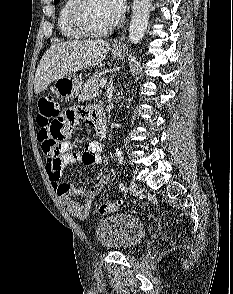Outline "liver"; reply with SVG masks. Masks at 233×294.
Returning a JSON list of instances; mask_svg holds the SVG:
<instances>
[{
  "instance_id": "obj_1",
  "label": "liver",
  "mask_w": 233,
  "mask_h": 294,
  "mask_svg": "<svg viewBox=\"0 0 233 294\" xmlns=\"http://www.w3.org/2000/svg\"><path fill=\"white\" fill-rule=\"evenodd\" d=\"M109 50V42L103 40H75L52 45L38 64L35 94H40L58 78L98 64Z\"/></svg>"
}]
</instances>
